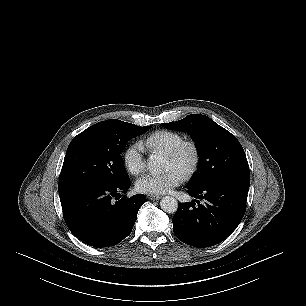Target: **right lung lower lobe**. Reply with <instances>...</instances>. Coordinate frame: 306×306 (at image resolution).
Listing matches in <instances>:
<instances>
[{"label":"right lung lower lobe","mask_w":306,"mask_h":306,"mask_svg":"<svg viewBox=\"0 0 306 306\" xmlns=\"http://www.w3.org/2000/svg\"><path fill=\"white\" fill-rule=\"evenodd\" d=\"M130 179L122 184L94 183L59 195L65 222L70 231L85 244L102 248L118 244L132 231L143 194L113 197L126 193Z\"/></svg>","instance_id":"98d812e1"}]
</instances>
